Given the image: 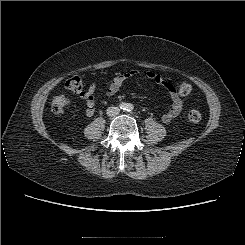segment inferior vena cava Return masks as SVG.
<instances>
[{
	"instance_id": "inferior-vena-cava-1",
	"label": "inferior vena cava",
	"mask_w": 245,
	"mask_h": 245,
	"mask_svg": "<svg viewBox=\"0 0 245 245\" xmlns=\"http://www.w3.org/2000/svg\"><path fill=\"white\" fill-rule=\"evenodd\" d=\"M106 111L107 115L110 117H115L120 113V109L118 107H108Z\"/></svg>"
}]
</instances>
